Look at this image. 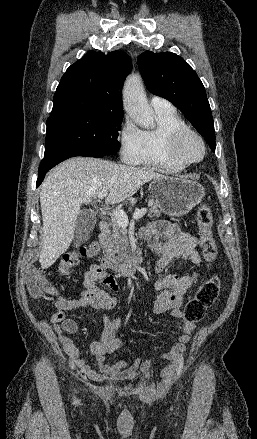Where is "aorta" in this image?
<instances>
[{
    "mask_svg": "<svg viewBox=\"0 0 257 439\" xmlns=\"http://www.w3.org/2000/svg\"><path fill=\"white\" fill-rule=\"evenodd\" d=\"M123 104L127 114L141 127L154 126V112L149 106L143 85L138 76H131L123 91Z\"/></svg>",
    "mask_w": 257,
    "mask_h": 439,
    "instance_id": "aorta-1",
    "label": "aorta"
}]
</instances>
